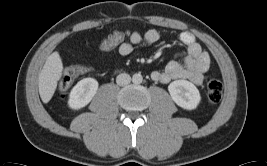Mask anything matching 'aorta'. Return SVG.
<instances>
[{
    "label": "aorta",
    "instance_id": "762f6f07",
    "mask_svg": "<svg viewBox=\"0 0 267 166\" xmlns=\"http://www.w3.org/2000/svg\"><path fill=\"white\" fill-rule=\"evenodd\" d=\"M132 81L133 83L135 84H140L142 83L143 81V77L140 73H135L133 76H132Z\"/></svg>",
    "mask_w": 267,
    "mask_h": 166
}]
</instances>
